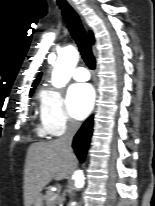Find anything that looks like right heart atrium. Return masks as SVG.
Returning a JSON list of instances; mask_svg holds the SVG:
<instances>
[{"instance_id":"d8ad5b80","label":"right heart atrium","mask_w":155,"mask_h":206,"mask_svg":"<svg viewBox=\"0 0 155 206\" xmlns=\"http://www.w3.org/2000/svg\"><path fill=\"white\" fill-rule=\"evenodd\" d=\"M40 118L45 130L51 135H61L77 125L61 93L55 89H47L43 92Z\"/></svg>"}]
</instances>
